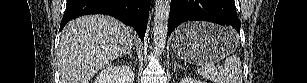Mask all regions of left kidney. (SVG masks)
I'll list each match as a JSON object with an SVG mask.
<instances>
[{
	"label": "left kidney",
	"instance_id": "5707ae66",
	"mask_svg": "<svg viewBox=\"0 0 307 83\" xmlns=\"http://www.w3.org/2000/svg\"><path fill=\"white\" fill-rule=\"evenodd\" d=\"M181 83H204L203 81H200V80H197L195 78H189V77H186V78H183L181 80Z\"/></svg>",
	"mask_w": 307,
	"mask_h": 83
}]
</instances>
